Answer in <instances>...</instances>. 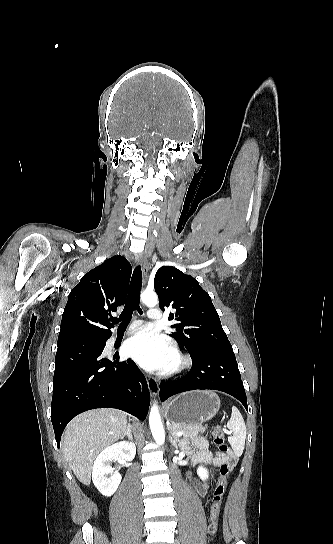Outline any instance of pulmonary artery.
<instances>
[{
  "mask_svg": "<svg viewBox=\"0 0 333 544\" xmlns=\"http://www.w3.org/2000/svg\"><path fill=\"white\" fill-rule=\"evenodd\" d=\"M148 317L154 321H159L161 320L162 318V314L161 312L158 310V309H155V308H151L149 311H148ZM143 328L142 326V322L137 320V321H134L132 324L129 325L128 329H127V332L126 333H133V332H137V331H140L141 329ZM117 336H113L111 339H110V343H114L115 340H116Z\"/></svg>",
  "mask_w": 333,
  "mask_h": 544,
  "instance_id": "pulmonary-artery-1",
  "label": "pulmonary artery"
}]
</instances>
